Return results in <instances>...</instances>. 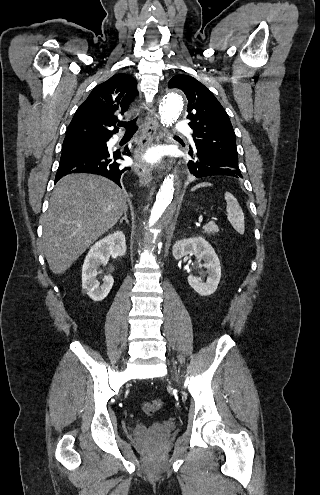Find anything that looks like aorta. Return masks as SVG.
Listing matches in <instances>:
<instances>
[{
	"label": "aorta",
	"instance_id": "1",
	"mask_svg": "<svg viewBox=\"0 0 320 495\" xmlns=\"http://www.w3.org/2000/svg\"><path fill=\"white\" fill-rule=\"evenodd\" d=\"M183 108V94L179 89L169 90L160 107V119L163 125L174 123ZM175 182L173 175L167 176L156 196V201L143 226L146 247L153 251L155 244L164 237L165 230L173 221L177 204L174 202ZM158 231V233H157ZM156 233V239H154Z\"/></svg>",
	"mask_w": 320,
	"mask_h": 495
}]
</instances>
